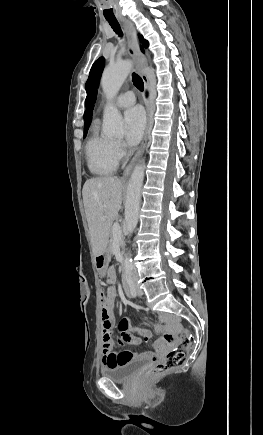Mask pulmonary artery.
<instances>
[{
	"instance_id": "obj_1",
	"label": "pulmonary artery",
	"mask_w": 263,
	"mask_h": 435,
	"mask_svg": "<svg viewBox=\"0 0 263 435\" xmlns=\"http://www.w3.org/2000/svg\"><path fill=\"white\" fill-rule=\"evenodd\" d=\"M114 103L119 108L130 107L135 103V95L132 91L123 92L115 99Z\"/></svg>"
}]
</instances>
